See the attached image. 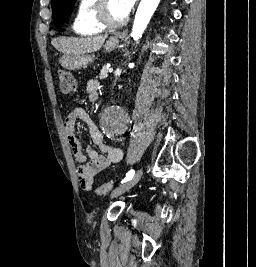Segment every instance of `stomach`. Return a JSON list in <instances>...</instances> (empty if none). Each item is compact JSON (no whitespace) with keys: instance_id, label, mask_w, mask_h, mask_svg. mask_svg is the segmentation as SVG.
Listing matches in <instances>:
<instances>
[{"instance_id":"stomach-1","label":"stomach","mask_w":256,"mask_h":267,"mask_svg":"<svg viewBox=\"0 0 256 267\" xmlns=\"http://www.w3.org/2000/svg\"><path fill=\"white\" fill-rule=\"evenodd\" d=\"M122 38H124L122 32H115L114 36L105 42L103 46L104 50H106V52L115 50V48H118ZM69 60H72V62H59V67H70V70H80V68H86L87 64H91L96 58L94 54H91V56H88V54H80V56L69 58Z\"/></svg>"}]
</instances>
